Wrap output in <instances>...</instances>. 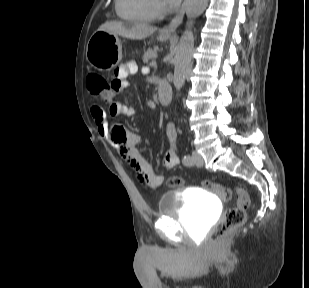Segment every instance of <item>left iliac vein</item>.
<instances>
[{"label":"left iliac vein","mask_w":309,"mask_h":288,"mask_svg":"<svg viewBox=\"0 0 309 288\" xmlns=\"http://www.w3.org/2000/svg\"><path fill=\"white\" fill-rule=\"evenodd\" d=\"M192 158H193V163L196 166L201 167L203 165V163H204L203 158L198 152L193 151Z\"/></svg>","instance_id":"obj_1"}]
</instances>
